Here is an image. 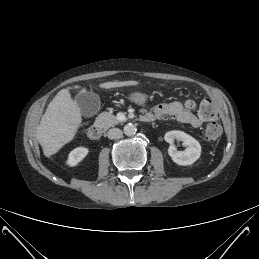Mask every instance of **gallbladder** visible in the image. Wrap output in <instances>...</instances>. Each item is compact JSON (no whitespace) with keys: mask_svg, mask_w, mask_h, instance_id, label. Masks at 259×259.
I'll return each mask as SVG.
<instances>
[{"mask_svg":"<svg viewBox=\"0 0 259 259\" xmlns=\"http://www.w3.org/2000/svg\"><path fill=\"white\" fill-rule=\"evenodd\" d=\"M77 102L82 109V116L85 119H92L100 108V98L93 92L78 96Z\"/></svg>","mask_w":259,"mask_h":259,"instance_id":"obj_1","label":"gallbladder"}]
</instances>
